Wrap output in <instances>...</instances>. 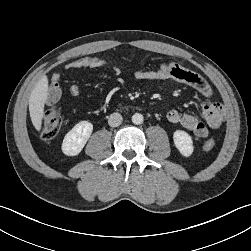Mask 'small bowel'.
<instances>
[{"mask_svg":"<svg viewBox=\"0 0 251 251\" xmlns=\"http://www.w3.org/2000/svg\"><path fill=\"white\" fill-rule=\"evenodd\" d=\"M67 69L81 68H109L115 75L119 69L108 64L106 61L96 57H84L72 61L66 65ZM138 80H173L195 89L205 98L212 96V88L209 83L196 72L177 63H162L156 70H139L135 73ZM80 87L72 85L69 89L71 96L76 97L80 94ZM61 95L60 75L55 73L51 77L50 87L47 97L48 104H54ZM203 120L191 114H183L178 110H170L166 118L170 123L180 124L185 129L192 131L198 137H206L209 129L218 128L224 120V109L221 104L206 101L202 104Z\"/></svg>","mask_w":251,"mask_h":251,"instance_id":"small-bowel-1","label":"small bowel"}]
</instances>
